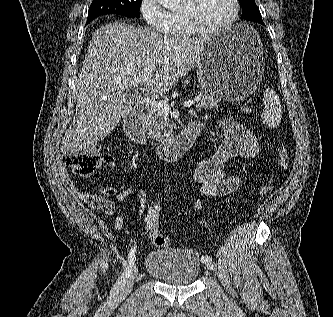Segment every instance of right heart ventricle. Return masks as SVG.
I'll return each mask as SVG.
<instances>
[{
  "instance_id": "1",
  "label": "right heart ventricle",
  "mask_w": 333,
  "mask_h": 317,
  "mask_svg": "<svg viewBox=\"0 0 333 317\" xmlns=\"http://www.w3.org/2000/svg\"><path fill=\"white\" fill-rule=\"evenodd\" d=\"M173 29L171 34L176 38H190L195 33L186 25L179 12L172 13Z\"/></svg>"
}]
</instances>
